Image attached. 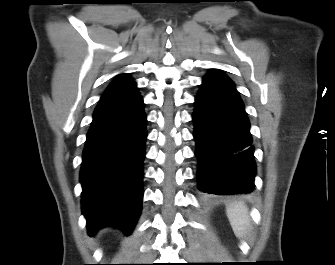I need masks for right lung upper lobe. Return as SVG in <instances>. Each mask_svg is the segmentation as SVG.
Listing matches in <instances>:
<instances>
[{"instance_id": "cb5924a9", "label": "right lung upper lobe", "mask_w": 335, "mask_h": 265, "mask_svg": "<svg viewBox=\"0 0 335 265\" xmlns=\"http://www.w3.org/2000/svg\"><path fill=\"white\" fill-rule=\"evenodd\" d=\"M136 90V83L129 74H119L107 87L102 98L121 96Z\"/></svg>"}]
</instances>
